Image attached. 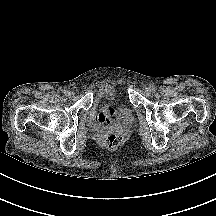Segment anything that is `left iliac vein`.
<instances>
[{
	"instance_id": "left-iliac-vein-1",
	"label": "left iliac vein",
	"mask_w": 216,
	"mask_h": 216,
	"mask_svg": "<svg viewBox=\"0 0 216 216\" xmlns=\"http://www.w3.org/2000/svg\"><path fill=\"white\" fill-rule=\"evenodd\" d=\"M144 91L146 94H150L152 92L151 86L145 87Z\"/></svg>"
}]
</instances>
